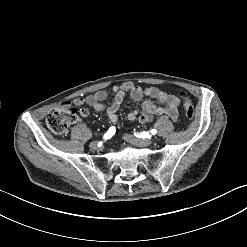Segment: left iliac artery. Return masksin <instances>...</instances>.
<instances>
[{"mask_svg":"<svg viewBox=\"0 0 247 247\" xmlns=\"http://www.w3.org/2000/svg\"><path fill=\"white\" fill-rule=\"evenodd\" d=\"M150 133L152 135H155L157 133V130L156 129H152V130H150ZM135 136L138 137V138H142V139H144V138H150L149 132H145V131L141 132L140 134L137 133V135L135 133Z\"/></svg>","mask_w":247,"mask_h":247,"instance_id":"left-iliac-artery-1","label":"left iliac artery"}]
</instances>
